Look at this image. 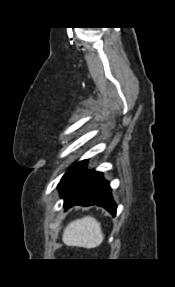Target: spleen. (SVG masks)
Instances as JSON below:
<instances>
[{"label": "spleen", "instance_id": "obj_1", "mask_svg": "<svg viewBox=\"0 0 175 287\" xmlns=\"http://www.w3.org/2000/svg\"><path fill=\"white\" fill-rule=\"evenodd\" d=\"M104 239L100 223L91 216H85L69 223L64 229L62 240L68 246L95 248Z\"/></svg>", "mask_w": 175, "mask_h": 287}]
</instances>
